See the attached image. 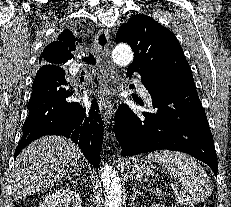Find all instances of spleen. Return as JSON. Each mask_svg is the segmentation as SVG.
Instances as JSON below:
<instances>
[{
    "label": "spleen",
    "instance_id": "obj_1",
    "mask_svg": "<svg viewBox=\"0 0 231 207\" xmlns=\"http://www.w3.org/2000/svg\"><path fill=\"white\" fill-rule=\"evenodd\" d=\"M147 159L159 162L166 173L173 175L182 185L176 195V202L181 205H194L204 202L212 192L210 180L202 168L191 156L170 150H159L148 154ZM156 190L155 193H158Z\"/></svg>",
    "mask_w": 231,
    "mask_h": 207
}]
</instances>
